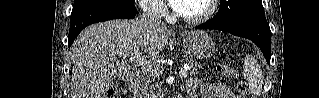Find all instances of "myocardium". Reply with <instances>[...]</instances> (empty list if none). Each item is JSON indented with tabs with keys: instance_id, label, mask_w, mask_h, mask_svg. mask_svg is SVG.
Segmentation results:
<instances>
[{
	"instance_id": "f54148a6",
	"label": "myocardium",
	"mask_w": 319,
	"mask_h": 98,
	"mask_svg": "<svg viewBox=\"0 0 319 98\" xmlns=\"http://www.w3.org/2000/svg\"><path fill=\"white\" fill-rule=\"evenodd\" d=\"M217 2H218L217 0H206V4H207L206 10L198 16L189 17V16H185L181 13H177V17L181 21H183L187 24H190V25L202 24V23L208 21L213 16V14L216 11Z\"/></svg>"
}]
</instances>
